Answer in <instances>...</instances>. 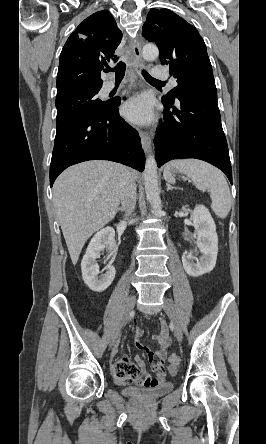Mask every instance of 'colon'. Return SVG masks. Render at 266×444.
I'll list each match as a JSON object with an SVG mask.
<instances>
[{"instance_id": "colon-1", "label": "colon", "mask_w": 266, "mask_h": 444, "mask_svg": "<svg viewBox=\"0 0 266 444\" xmlns=\"http://www.w3.org/2000/svg\"><path fill=\"white\" fill-rule=\"evenodd\" d=\"M169 363L172 370H174L179 364V357L176 354H171L169 356Z\"/></svg>"}]
</instances>
